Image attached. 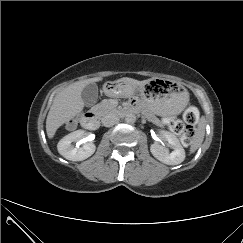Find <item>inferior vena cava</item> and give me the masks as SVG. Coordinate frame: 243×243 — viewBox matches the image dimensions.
I'll return each instance as SVG.
<instances>
[{"label": "inferior vena cava", "mask_w": 243, "mask_h": 243, "mask_svg": "<svg viewBox=\"0 0 243 243\" xmlns=\"http://www.w3.org/2000/svg\"><path fill=\"white\" fill-rule=\"evenodd\" d=\"M118 122H119V117L113 113L107 114L102 118V124L105 127H110L112 125L117 124Z\"/></svg>", "instance_id": "obj_1"}]
</instances>
